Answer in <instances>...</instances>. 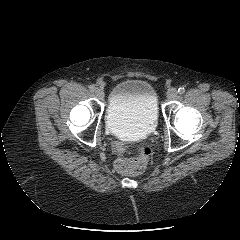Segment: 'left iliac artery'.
Returning a JSON list of instances; mask_svg holds the SVG:
<instances>
[{"instance_id": "1", "label": "left iliac artery", "mask_w": 240, "mask_h": 240, "mask_svg": "<svg viewBox=\"0 0 240 240\" xmlns=\"http://www.w3.org/2000/svg\"><path fill=\"white\" fill-rule=\"evenodd\" d=\"M178 93H179V94H184V93H185V88H184V87H180V88L178 89Z\"/></svg>"}]
</instances>
